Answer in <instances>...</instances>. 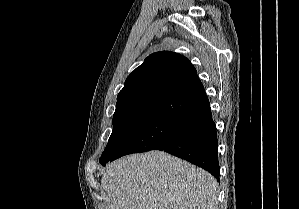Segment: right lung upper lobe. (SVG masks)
<instances>
[{
  "label": "right lung upper lobe",
  "instance_id": "obj_1",
  "mask_svg": "<svg viewBox=\"0 0 299 209\" xmlns=\"http://www.w3.org/2000/svg\"><path fill=\"white\" fill-rule=\"evenodd\" d=\"M197 78L183 55L162 51L149 55L126 79L117 97V107L141 102L162 103L182 86Z\"/></svg>",
  "mask_w": 299,
  "mask_h": 209
}]
</instances>
